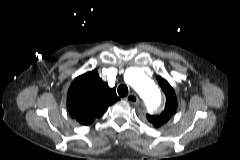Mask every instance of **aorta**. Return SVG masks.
<instances>
[{"mask_svg":"<svg viewBox=\"0 0 240 160\" xmlns=\"http://www.w3.org/2000/svg\"><path fill=\"white\" fill-rule=\"evenodd\" d=\"M129 84L139 94L148 112L158 111L162 104V96L155 83L140 69L129 70Z\"/></svg>","mask_w":240,"mask_h":160,"instance_id":"obj_1","label":"aorta"}]
</instances>
